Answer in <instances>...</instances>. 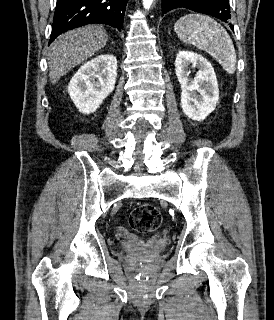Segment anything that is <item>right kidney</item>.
I'll return each mask as SVG.
<instances>
[{"label": "right kidney", "instance_id": "obj_1", "mask_svg": "<svg viewBox=\"0 0 274 320\" xmlns=\"http://www.w3.org/2000/svg\"><path fill=\"white\" fill-rule=\"evenodd\" d=\"M117 68V60L112 54L96 56L79 68L68 86V94L79 112H96L115 88Z\"/></svg>", "mask_w": 274, "mask_h": 320}]
</instances>
